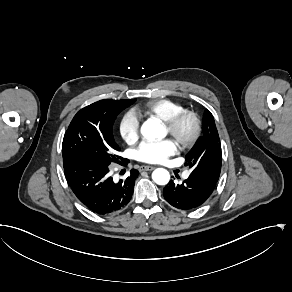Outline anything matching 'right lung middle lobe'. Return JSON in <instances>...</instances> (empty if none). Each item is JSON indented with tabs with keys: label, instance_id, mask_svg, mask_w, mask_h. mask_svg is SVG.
Listing matches in <instances>:
<instances>
[{
	"label": "right lung middle lobe",
	"instance_id": "1",
	"mask_svg": "<svg viewBox=\"0 0 292 292\" xmlns=\"http://www.w3.org/2000/svg\"><path fill=\"white\" fill-rule=\"evenodd\" d=\"M132 100H100L84 107L72 119L63 139L65 159H88L101 164L123 161L112 127L118 114L132 105Z\"/></svg>",
	"mask_w": 292,
	"mask_h": 292
}]
</instances>
